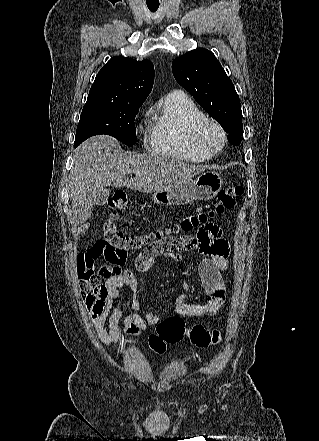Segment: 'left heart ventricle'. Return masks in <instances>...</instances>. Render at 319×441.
<instances>
[{
    "label": "left heart ventricle",
    "mask_w": 319,
    "mask_h": 441,
    "mask_svg": "<svg viewBox=\"0 0 319 441\" xmlns=\"http://www.w3.org/2000/svg\"><path fill=\"white\" fill-rule=\"evenodd\" d=\"M211 138H212V140H213L214 142H216V141L218 140V136H217V134H215V133H212V134H211Z\"/></svg>",
    "instance_id": "obj_1"
}]
</instances>
